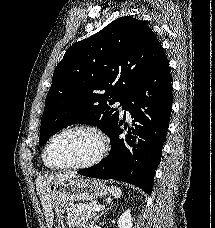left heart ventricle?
Masks as SVG:
<instances>
[{"label": "left heart ventricle", "instance_id": "left-heart-ventricle-1", "mask_svg": "<svg viewBox=\"0 0 215 228\" xmlns=\"http://www.w3.org/2000/svg\"><path fill=\"white\" fill-rule=\"evenodd\" d=\"M98 148V140L91 132L70 131L60 135L50 144L46 159L53 167L77 164L91 158Z\"/></svg>", "mask_w": 215, "mask_h": 228}]
</instances>
